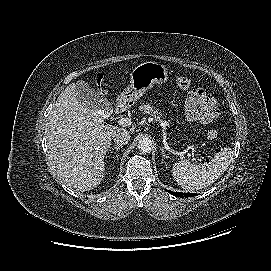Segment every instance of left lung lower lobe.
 <instances>
[{"label": "left lung lower lobe", "mask_w": 271, "mask_h": 271, "mask_svg": "<svg viewBox=\"0 0 271 271\" xmlns=\"http://www.w3.org/2000/svg\"><path fill=\"white\" fill-rule=\"evenodd\" d=\"M167 192H169L170 194L176 196V197H192L195 196L196 194L194 193H178V192H172L169 190H166Z\"/></svg>", "instance_id": "left-lung-lower-lobe-1"}]
</instances>
